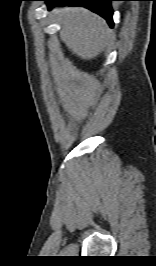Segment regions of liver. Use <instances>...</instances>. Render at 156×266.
I'll use <instances>...</instances> for the list:
<instances>
[{"label":"liver","instance_id":"liver-1","mask_svg":"<svg viewBox=\"0 0 156 266\" xmlns=\"http://www.w3.org/2000/svg\"><path fill=\"white\" fill-rule=\"evenodd\" d=\"M55 13L62 25L60 38L73 54L90 60L104 50L111 38L104 19L81 7H65Z\"/></svg>","mask_w":156,"mask_h":266}]
</instances>
